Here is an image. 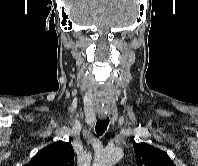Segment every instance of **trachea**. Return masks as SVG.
<instances>
[{
  "label": "trachea",
  "mask_w": 198,
  "mask_h": 166,
  "mask_svg": "<svg viewBox=\"0 0 198 166\" xmlns=\"http://www.w3.org/2000/svg\"><path fill=\"white\" fill-rule=\"evenodd\" d=\"M108 124H109V117H106L104 119H98L95 126L96 133L99 136L103 135L104 132L107 130Z\"/></svg>",
  "instance_id": "trachea-1"
}]
</instances>
